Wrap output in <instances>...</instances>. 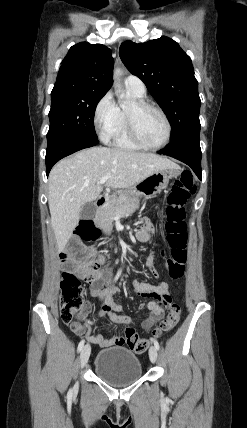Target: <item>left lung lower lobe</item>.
I'll return each instance as SVG.
<instances>
[{
  "mask_svg": "<svg viewBox=\"0 0 247 428\" xmlns=\"http://www.w3.org/2000/svg\"><path fill=\"white\" fill-rule=\"evenodd\" d=\"M158 153L171 156L186 163L192 168L198 178L202 179L199 137H192L179 143L170 144Z\"/></svg>",
  "mask_w": 247,
  "mask_h": 428,
  "instance_id": "obj_1",
  "label": "left lung lower lobe"
}]
</instances>
